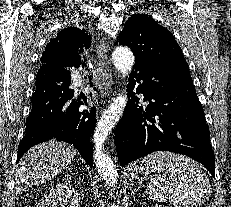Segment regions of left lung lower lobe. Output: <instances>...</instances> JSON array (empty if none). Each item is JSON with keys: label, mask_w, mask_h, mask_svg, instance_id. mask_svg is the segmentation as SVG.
Returning a JSON list of instances; mask_svg holds the SVG:
<instances>
[{"label": "left lung lower lobe", "mask_w": 231, "mask_h": 207, "mask_svg": "<svg viewBox=\"0 0 231 207\" xmlns=\"http://www.w3.org/2000/svg\"><path fill=\"white\" fill-rule=\"evenodd\" d=\"M136 94L149 101L143 109ZM128 104L116 126L115 142L122 167L154 151H172L203 164L215 177L210 132L191 76L135 61L127 85Z\"/></svg>", "instance_id": "obj_1"}]
</instances>
